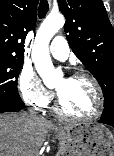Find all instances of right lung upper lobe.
<instances>
[{
    "mask_svg": "<svg viewBox=\"0 0 114 156\" xmlns=\"http://www.w3.org/2000/svg\"><path fill=\"white\" fill-rule=\"evenodd\" d=\"M38 0H0V57L24 58V39L36 24Z\"/></svg>",
    "mask_w": 114,
    "mask_h": 156,
    "instance_id": "obj_1",
    "label": "right lung upper lobe"
}]
</instances>
